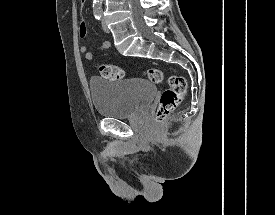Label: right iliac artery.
<instances>
[{"label": "right iliac artery", "mask_w": 275, "mask_h": 215, "mask_svg": "<svg viewBox=\"0 0 275 215\" xmlns=\"http://www.w3.org/2000/svg\"><path fill=\"white\" fill-rule=\"evenodd\" d=\"M94 16L96 19L100 20L102 16L101 8L100 7H95L93 10Z\"/></svg>", "instance_id": "1"}]
</instances>
